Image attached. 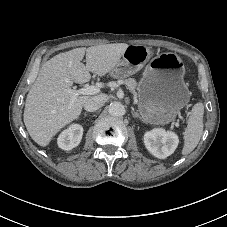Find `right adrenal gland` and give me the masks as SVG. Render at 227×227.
Here are the masks:
<instances>
[{"label":"right adrenal gland","mask_w":227,"mask_h":227,"mask_svg":"<svg viewBox=\"0 0 227 227\" xmlns=\"http://www.w3.org/2000/svg\"><path fill=\"white\" fill-rule=\"evenodd\" d=\"M88 114V112H84V115H87Z\"/></svg>","instance_id":"right-adrenal-gland-1"}]
</instances>
